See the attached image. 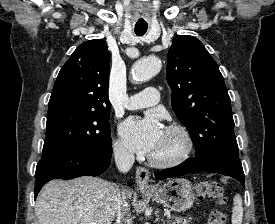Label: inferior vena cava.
<instances>
[{"label": "inferior vena cava", "mask_w": 275, "mask_h": 224, "mask_svg": "<svg viewBox=\"0 0 275 224\" xmlns=\"http://www.w3.org/2000/svg\"><path fill=\"white\" fill-rule=\"evenodd\" d=\"M114 158L118 170L123 173L131 169L135 160L133 153L122 147L114 149ZM126 199V191L118 189L114 201L116 224H129L130 222L129 204Z\"/></svg>", "instance_id": "602c4592"}]
</instances>
